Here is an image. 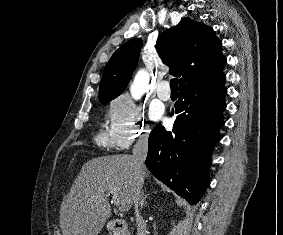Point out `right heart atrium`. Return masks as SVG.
Returning <instances> with one entry per match:
<instances>
[{
	"label": "right heart atrium",
	"mask_w": 283,
	"mask_h": 235,
	"mask_svg": "<svg viewBox=\"0 0 283 235\" xmlns=\"http://www.w3.org/2000/svg\"><path fill=\"white\" fill-rule=\"evenodd\" d=\"M109 134L112 144L120 150H126L134 142L148 138L150 125L145 114L129 97L120 96L112 102Z\"/></svg>",
	"instance_id": "obj_1"
}]
</instances>
